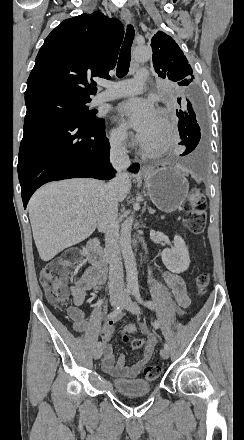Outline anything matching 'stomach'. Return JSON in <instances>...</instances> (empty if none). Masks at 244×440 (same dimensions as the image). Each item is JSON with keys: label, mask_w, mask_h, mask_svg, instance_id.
Masks as SVG:
<instances>
[{"label": "stomach", "mask_w": 244, "mask_h": 440, "mask_svg": "<svg viewBox=\"0 0 244 440\" xmlns=\"http://www.w3.org/2000/svg\"><path fill=\"white\" fill-rule=\"evenodd\" d=\"M143 178L150 200L161 212H175L188 196V180L172 166H162L157 170L150 168Z\"/></svg>", "instance_id": "stomach-1"}]
</instances>
